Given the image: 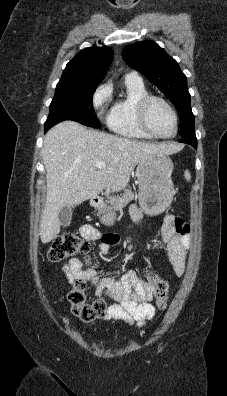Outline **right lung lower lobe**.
Returning a JSON list of instances; mask_svg holds the SVG:
<instances>
[{
    "instance_id": "1",
    "label": "right lung lower lobe",
    "mask_w": 227,
    "mask_h": 396,
    "mask_svg": "<svg viewBox=\"0 0 227 396\" xmlns=\"http://www.w3.org/2000/svg\"><path fill=\"white\" fill-rule=\"evenodd\" d=\"M55 124L54 123H52V124H45V126H44V132L46 133L52 126H54Z\"/></svg>"
}]
</instances>
